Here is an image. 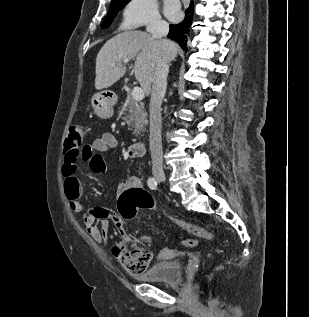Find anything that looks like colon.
Returning a JSON list of instances; mask_svg holds the SVG:
<instances>
[{
    "label": "colon",
    "instance_id": "1",
    "mask_svg": "<svg viewBox=\"0 0 309 317\" xmlns=\"http://www.w3.org/2000/svg\"><path fill=\"white\" fill-rule=\"evenodd\" d=\"M82 136L83 131L80 125L75 124L69 128L65 144V159L67 162H74L88 152V146L82 147ZM154 208V200L145 189H129L119 197L118 209L124 219L134 218L139 210ZM168 218L179 228L198 238L215 239V235L211 231L201 226L172 216H168ZM181 243L186 247H194L197 245V240L185 239ZM113 253L121 266L131 274H139L145 271L152 257L148 238L133 237L127 234H124L122 241L114 247Z\"/></svg>",
    "mask_w": 309,
    "mask_h": 317
}]
</instances>
